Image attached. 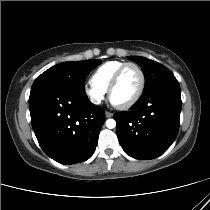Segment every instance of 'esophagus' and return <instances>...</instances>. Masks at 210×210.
<instances>
[{
  "mask_svg": "<svg viewBox=\"0 0 210 210\" xmlns=\"http://www.w3.org/2000/svg\"><path fill=\"white\" fill-rule=\"evenodd\" d=\"M105 115H106L107 118H111L113 116V113H111L109 111H106Z\"/></svg>",
  "mask_w": 210,
  "mask_h": 210,
  "instance_id": "esophagus-1",
  "label": "esophagus"
}]
</instances>
